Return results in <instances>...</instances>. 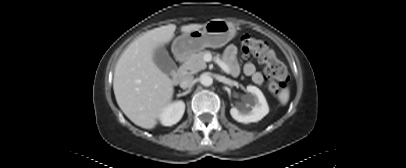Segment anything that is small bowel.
Instances as JSON below:
<instances>
[{
  "label": "small bowel",
  "mask_w": 406,
  "mask_h": 168,
  "mask_svg": "<svg viewBox=\"0 0 406 168\" xmlns=\"http://www.w3.org/2000/svg\"><path fill=\"white\" fill-rule=\"evenodd\" d=\"M237 53V47L234 45H229L226 47L223 54L224 61L227 64L228 72L233 76H236L239 73V66L237 64ZM243 71L247 76L251 77L252 81L255 84L260 85L263 83L264 77L262 73L257 71L254 64L246 63L243 67Z\"/></svg>",
  "instance_id": "obj_1"
}]
</instances>
